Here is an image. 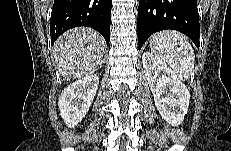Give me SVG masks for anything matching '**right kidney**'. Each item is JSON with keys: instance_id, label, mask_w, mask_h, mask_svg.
Returning <instances> with one entry per match:
<instances>
[{"instance_id": "1", "label": "right kidney", "mask_w": 231, "mask_h": 151, "mask_svg": "<svg viewBox=\"0 0 231 151\" xmlns=\"http://www.w3.org/2000/svg\"><path fill=\"white\" fill-rule=\"evenodd\" d=\"M99 76L89 75L70 84L59 97L60 115L67 126H76L88 112L98 89Z\"/></svg>"}]
</instances>
